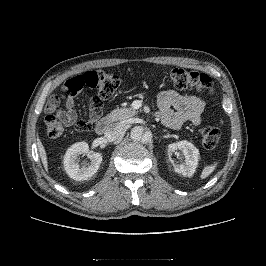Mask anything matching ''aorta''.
Masks as SVG:
<instances>
[{"label":"aorta","mask_w":266,"mask_h":266,"mask_svg":"<svg viewBox=\"0 0 266 266\" xmlns=\"http://www.w3.org/2000/svg\"><path fill=\"white\" fill-rule=\"evenodd\" d=\"M130 137L134 142L142 141L147 143L152 140V133L150 131H144L142 126H134L131 129Z\"/></svg>","instance_id":"762f6f07"}]
</instances>
